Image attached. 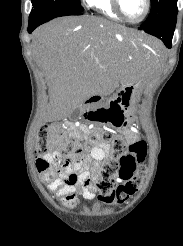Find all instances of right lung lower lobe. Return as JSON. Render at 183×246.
<instances>
[{"instance_id":"right-lung-lower-lobe-1","label":"right lung lower lobe","mask_w":183,"mask_h":246,"mask_svg":"<svg viewBox=\"0 0 183 246\" xmlns=\"http://www.w3.org/2000/svg\"><path fill=\"white\" fill-rule=\"evenodd\" d=\"M69 15H82V12H75V13H71ZM43 23H44V21H29L28 33H31L36 27H38L39 25H41Z\"/></svg>"}]
</instances>
